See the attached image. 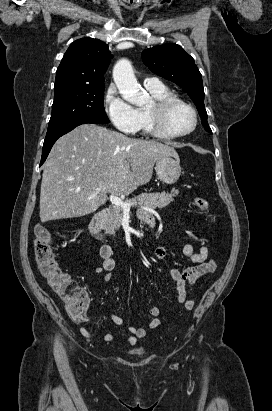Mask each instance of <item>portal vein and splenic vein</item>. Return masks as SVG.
Segmentation results:
<instances>
[{
    "label": "portal vein and splenic vein",
    "instance_id": "1",
    "mask_svg": "<svg viewBox=\"0 0 272 411\" xmlns=\"http://www.w3.org/2000/svg\"><path fill=\"white\" fill-rule=\"evenodd\" d=\"M96 190H97V191H100L101 188H100V187H97ZM110 201H111V203H112L113 205L122 207V209H123L124 211H129L130 208H131V205L133 204V203H131V202L123 201L120 197H118V196H116V195H114V194H111V195H110Z\"/></svg>",
    "mask_w": 272,
    "mask_h": 411
}]
</instances>
